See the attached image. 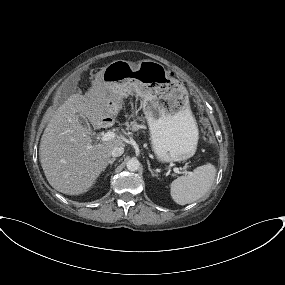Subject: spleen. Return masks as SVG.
<instances>
[{
  "instance_id": "1",
  "label": "spleen",
  "mask_w": 285,
  "mask_h": 285,
  "mask_svg": "<svg viewBox=\"0 0 285 285\" xmlns=\"http://www.w3.org/2000/svg\"><path fill=\"white\" fill-rule=\"evenodd\" d=\"M216 168L213 164L195 168L185 176H180L170 184V194L175 203L186 205L203 197L213 185Z\"/></svg>"
}]
</instances>
